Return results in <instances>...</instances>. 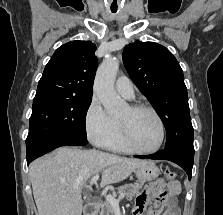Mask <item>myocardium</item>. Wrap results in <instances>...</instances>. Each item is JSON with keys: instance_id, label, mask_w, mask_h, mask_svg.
<instances>
[{"instance_id": "myocardium-1", "label": "myocardium", "mask_w": 223, "mask_h": 215, "mask_svg": "<svg viewBox=\"0 0 223 215\" xmlns=\"http://www.w3.org/2000/svg\"><path fill=\"white\" fill-rule=\"evenodd\" d=\"M129 109L131 111L145 110L152 114V116L155 118V120L158 124L159 140H158L156 146L153 147L152 149L140 150L133 145L130 135H129V130H128L127 125L124 122L119 120V131H120V138H121L122 142L124 143V145L127 147V149L130 152L135 153V154L143 155V154H151V153L157 152L161 148L163 141H164V137H165V128H164V124H163L161 117L159 116V114L157 113V111L154 108H152L151 106H149L146 103H136V104L129 105Z\"/></svg>"}]
</instances>
